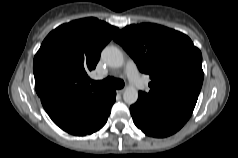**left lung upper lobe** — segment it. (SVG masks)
<instances>
[{
    "instance_id": "obj_1",
    "label": "left lung upper lobe",
    "mask_w": 238,
    "mask_h": 158,
    "mask_svg": "<svg viewBox=\"0 0 238 158\" xmlns=\"http://www.w3.org/2000/svg\"><path fill=\"white\" fill-rule=\"evenodd\" d=\"M114 40L150 75L151 99L199 95L203 83L202 54L185 34L157 24L130 25Z\"/></svg>"
}]
</instances>
